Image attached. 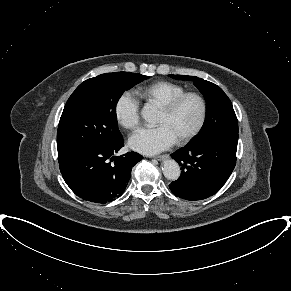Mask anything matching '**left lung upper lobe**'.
Segmentation results:
<instances>
[{
    "mask_svg": "<svg viewBox=\"0 0 291 291\" xmlns=\"http://www.w3.org/2000/svg\"><path fill=\"white\" fill-rule=\"evenodd\" d=\"M180 80L193 81L207 102L206 119L201 131L190 142H200L220 132L238 133V121L232 103L217 85L194 76L169 75Z\"/></svg>",
    "mask_w": 291,
    "mask_h": 291,
    "instance_id": "5c2ea615",
    "label": "left lung upper lobe"
}]
</instances>
